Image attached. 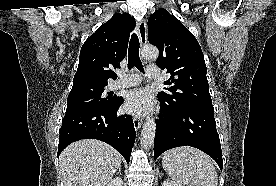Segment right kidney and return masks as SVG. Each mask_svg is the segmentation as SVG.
Here are the masks:
<instances>
[{"mask_svg":"<svg viewBox=\"0 0 276 186\" xmlns=\"http://www.w3.org/2000/svg\"><path fill=\"white\" fill-rule=\"evenodd\" d=\"M106 186H123V180L120 177H116L110 181Z\"/></svg>","mask_w":276,"mask_h":186,"instance_id":"ca27d5eb","label":"right kidney"}]
</instances>
